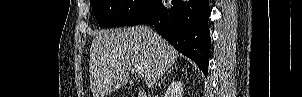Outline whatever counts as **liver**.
Listing matches in <instances>:
<instances>
[{"instance_id": "6515ba94", "label": "liver", "mask_w": 302, "mask_h": 97, "mask_svg": "<svg viewBox=\"0 0 302 97\" xmlns=\"http://www.w3.org/2000/svg\"><path fill=\"white\" fill-rule=\"evenodd\" d=\"M144 26L101 31L90 48L89 78L93 97H105L125 85L131 66L144 67V82L151 88L174 65L178 51Z\"/></svg>"}]
</instances>
